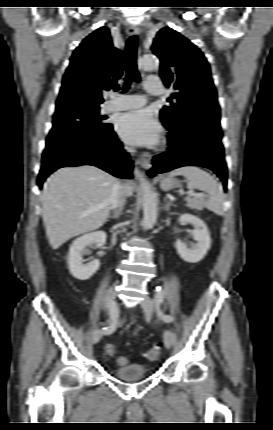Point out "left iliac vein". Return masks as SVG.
Wrapping results in <instances>:
<instances>
[{
	"instance_id": "1",
	"label": "left iliac vein",
	"mask_w": 273,
	"mask_h": 430,
	"mask_svg": "<svg viewBox=\"0 0 273 430\" xmlns=\"http://www.w3.org/2000/svg\"><path fill=\"white\" fill-rule=\"evenodd\" d=\"M141 307L147 316H151L154 311L153 300L149 296H146L144 300L141 302ZM163 337H164V344L166 348L168 349L171 348L174 341V338L171 332L165 331Z\"/></svg>"
}]
</instances>
